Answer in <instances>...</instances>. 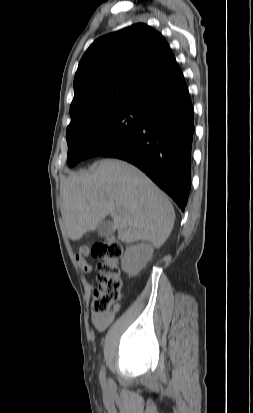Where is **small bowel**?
Wrapping results in <instances>:
<instances>
[{"instance_id":"obj_1","label":"small bowel","mask_w":253,"mask_h":413,"mask_svg":"<svg viewBox=\"0 0 253 413\" xmlns=\"http://www.w3.org/2000/svg\"><path fill=\"white\" fill-rule=\"evenodd\" d=\"M88 256L89 249L86 246L80 247L79 251L75 255L77 265L85 273H89L92 270V266L87 260ZM119 310L120 305L115 304L105 315H92L91 323L93 327L99 332L105 330L113 322Z\"/></svg>"}]
</instances>
